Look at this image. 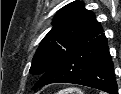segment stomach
Here are the masks:
<instances>
[{"mask_svg":"<svg viewBox=\"0 0 121 94\" xmlns=\"http://www.w3.org/2000/svg\"><path fill=\"white\" fill-rule=\"evenodd\" d=\"M57 94H84L82 90L78 88H66L59 91Z\"/></svg>","mask_w":121,"mask_h":94,"instance_id":"1","label":"stomach"}]
</instances>
